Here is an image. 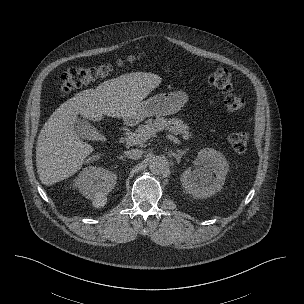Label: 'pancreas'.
Listing matches in <instances>:
<instances>
[{
    "mask_svg": "<svg viewBox=\"0 0 304 304\" xmlns=\"http://www.w3.org/2000/svg\"><path fill=\"white\" fill-rule=\"evenodd\" d=\"M168 130L171 133L179 134L183 139L191 138L192 134L189 131V126L178 118L167 119L156 117V119H148L145 125H140L136 130L135 136L138 139L137 144H143L159 131Z\"/></svg>",
    "mask_w": 304,
    "mask_h": 304,
    "instance_id": "pancreas-1",
    "label": "pancreas"
}]
</instances>
